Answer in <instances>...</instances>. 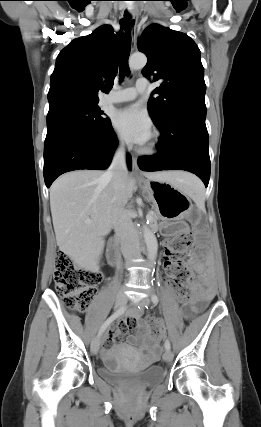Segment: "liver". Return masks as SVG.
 Here are the masks:
<instances>
[{
  "instance_id": "1",
  "label": "liver",
  "mask_w": 261,
  "mask_h": 427,
  "mask_svg": "<svg viewBox=\"0 0 261 427\" xmlns=\"http://www.w3.org/2000/svg\"><path fill=\"white\" fill-rule=\"evenodd\" d=\"M105 173L100 170L69 172L59 177L50 188V208L57 245L87 268L98 261L103 239L113 227L115 190ZM143 175L148 180L167 182L183 191L187 178L191 177L178 171ZM135 190L136 181L128 175L124 190L127 201Z\"/></svg>"
}]
</instances>
